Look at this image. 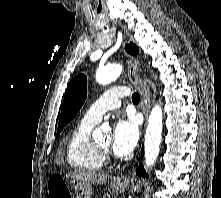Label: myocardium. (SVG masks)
<instances>
[{"mask_svg":"<svg viewBox=\"0 0 221 198\" xmlns=\"http://www.w3.org/2000/svg\"><path fill=\"white\" fill-rule=\"evenodd\" d=\"M102 152L104 153L105 156H108L109 155V149H108V146H103V145H99Z\"/></svg>","mask_w":221,"mask_h":198,"instance_id":"1","label":"myocardium"}]
</instances>
